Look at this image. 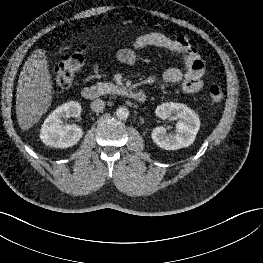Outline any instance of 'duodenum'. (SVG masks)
Listing matches in <instances>:
<instances>
[{
    "instance_id": "duodenum-1",
    "label": "duodenum",
    "mask_w": 263,
    "mask_h": 263,
    "mask_svg": "<svg viewBox=\"0 0 263 263\" xmlns=\"http://www.w3.org/2000/svg\"><path fill=\"white\" fill-rule=\"evenodd\" d=\"M81 94L85 100L92 101L98 98L99 91L95 86H86L82 89ZM129 96L131 99L140 103L146 99V95L142 91H130Z\"/></svg>"
}]
</instances>
